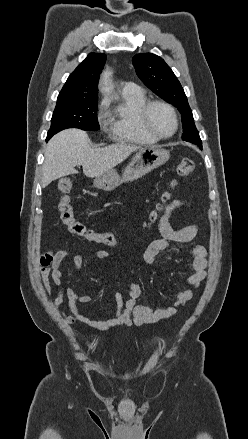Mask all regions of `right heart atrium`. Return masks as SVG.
<instances>
[{"label":"right heart atrium","instance_id":"right-heart-atrium-1","mask_svg":"<svg viewBox=\"0 0 248 439\" xmlns=\"http://www.w3.org/2000/svg\"><path fill=\"white\" fill-rule=\"evenodd\" d=\"M108 109H107V101L103 100L98 106L97 109V119L101 127L106 128L108 124Z\"/></svg>","mask_w":248,"mask_h":439}]
</instances>
